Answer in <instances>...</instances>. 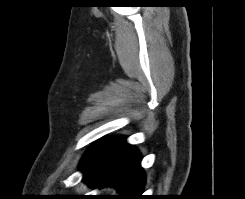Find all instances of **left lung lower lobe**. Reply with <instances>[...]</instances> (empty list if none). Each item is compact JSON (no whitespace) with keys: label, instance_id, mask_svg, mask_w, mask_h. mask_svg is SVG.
<instances>
[{"label":"left lung lower lobe","instance_id":"left-lung-lower-lobe-1","mask_svg":"<svg viewBox=\"0 0 245 199\" xmlns=\"http://www.w3.org/2000/svg\"><path fill=\"white\" fill-rule=\"evenodd\" d=\"M141 156L125 138L102 139L84 154L80 170L91 188L112 186L129 198H141L144 173Z\"/></svg>","mask_w":245,"mask_h":199}]
</instances>
